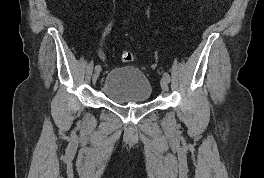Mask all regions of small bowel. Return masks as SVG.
<instances>
[{
  "mask_svg": "<svg viewBox=\"0 0 264 178\" xmlns=\"http://www.w3.org/2000/svg\"><path fill=\"white\" fill-rule=\"evenodd\" d=\"M99 56L100 58L104 59L105 58V54L102 50L99 51Z\"/></svg>",
  "mask_w": 264,
  "mask_h": 178,
  "instance_id": "obj_1",
  "label": "small bowel"
}]
</instances>
